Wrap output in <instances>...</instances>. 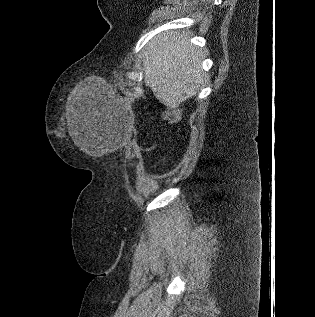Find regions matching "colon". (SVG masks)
<instances>
[{
	"mask_svg": "<svg viewBox=\"0 0 315 317\" xmlns=\"http://www.w3.org/2000/svg\"><path fill=\"white\" fill-rule=\"evenodd\" d=\"M180 112L179 110H168L164 113V118L166 121L170 123H175L180 120ZM136 149L132 150V153H136Z\"/></svg>",
	"mask_w": 315,
	"mask_h": 317,
	"instance_id": "obj_1",
	"label": "colon"
}]
</instances>
